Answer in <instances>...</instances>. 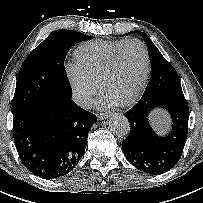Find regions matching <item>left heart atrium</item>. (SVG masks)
<instances>
[{"instance_id":"1","label":"left heart atrium","mask_w":203,"mask_h":203,"mask_svg":"<svg viewBox=\"0 0 203 203\" xmlns=\"http://www.w3.org/2000/svg\"><path fill=\"white\" fill-rule=\"evenodd\" d=\"M118 102L113 100L110 96L103 94L97 101V105L102 109L111 108L116 106Z\"/></svg>"}]
</instances>
